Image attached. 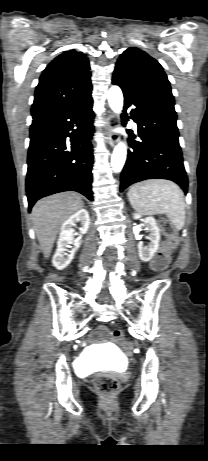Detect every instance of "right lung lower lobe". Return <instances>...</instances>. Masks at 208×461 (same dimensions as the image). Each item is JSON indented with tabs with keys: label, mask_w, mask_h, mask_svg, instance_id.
<instances>
[{
	"label": "right lung lower lobe",
	"mask_w": 208,
	"mask_h": 461,
	"mask_svg": "<svg viewBox=\"0 0 208 461\" xmlns=\"http://www.w3.org/2000/svg\"><path fill=\"white\" fill-rule=\"evenodd\" d=\"M92 104L91 97L32 122L26 177L29 211L40 198L63 191H76L93 201Z\"/></svg>",
	"instance_id": "1"
}]
</instances>
